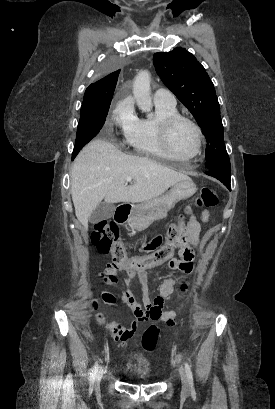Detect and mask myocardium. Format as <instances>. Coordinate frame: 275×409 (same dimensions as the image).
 <instances>
[{
    "mask_svg": "<svg viewBox=\"0 0 275 409\" xmlns=\"http://www.w3.org/2000/svg\"><path fill=\"white\" fill-rule=\"evenodd\" d=\"M180 123H187L194 131L196 137V150L189 157H198L202 150V133L199 126L191 119L177 115L164 120L161 124V137L165 152L169 157H179L172 148V134L174 128Z\"/></svg>",
    "mask_w": 275,
    "mask_h": 409,
    "instance_id": "obj_1",
    "label": "myocardium"
}]
</instances>
